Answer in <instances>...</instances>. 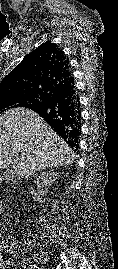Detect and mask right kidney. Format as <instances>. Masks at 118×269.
Wrapping results in <instances>:
<instances>
[{"instance_id": "right-kidney-1", "label": "right kidney", "mask_w": 118, "mask_h": 269, "mask_svg": "<svg viewBox=\"0 0 118 269\" xmlns=\"http://www.w3.org/2000/svg\"><path fill=\"white\" fill-rule=\"evenodd\" d=\"M57 173L55 171H47L41 174L37 178V186L42 189V193L46 194L48 192V188L57 180Z\"/></svg>"}]
</instances>
